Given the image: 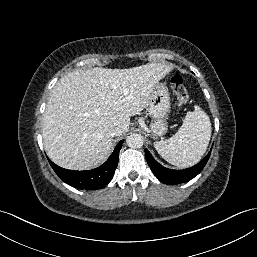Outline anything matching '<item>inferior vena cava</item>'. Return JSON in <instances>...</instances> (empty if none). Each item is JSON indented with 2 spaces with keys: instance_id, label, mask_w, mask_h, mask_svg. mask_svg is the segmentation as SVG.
<instances>
[{
  "instance_id": "obj_1",
  "label": "inferior vena cava",
  "mask_w": 257,
  "mask_h": 257,
  "mask_svg": "<svg viewBox=\"0 0 257 257\" xmlns=\"http://www.w3.org/2000/svg\"><path fill=\"white\" fill-rule=\"evenodd\" d=\"M121 134V131L117 128H113L110 132H109V135L111 137H114V136H118Z\"/></svg>"
}]
</instances>
